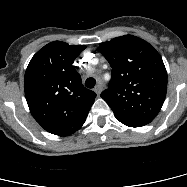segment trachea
Here are the masks:
<instances>
[{
	"mask_svg": "<svg viewBox=\"0 0 187 187\" xmlns=\"http://www.w3.org/2000/svg\"><path fill=\"white\" fill-rule=\"evenodd\" d=\"M95 84H96V80H95L94 78H92V77L88 78V79L85 81V86H86L87 88H94Z\"/></svg>",
	"mask_w": 187,
	"mask_h": 187,
	"instance_id": "1",
	"label": "trachea"
}]
</instances>
